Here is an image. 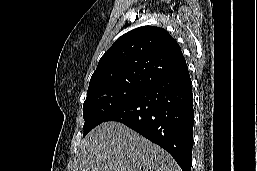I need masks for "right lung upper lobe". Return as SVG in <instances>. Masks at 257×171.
<instances>
[{"instance_id":"right-lung-upper-lobe-1","label":"right lung upper lobe","mask_w":257,"mask_h":171,"mask_svg":"<svg viewBox=\"0 0 257 171\" xmlns=\"http://www.w3.org/2000/svg\"><path fill=\"white\" fill-rule=\"evenodd\" d=\"M177 41L163 28L144 26L119 37L101 57L88 90L114 83H156L186 67Z\"/></svg>"}]
</instances>
